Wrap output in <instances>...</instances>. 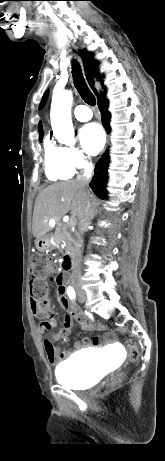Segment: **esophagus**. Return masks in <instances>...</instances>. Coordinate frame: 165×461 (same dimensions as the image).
Masks as SVG:
<instances>
[{
  "instance_id": "1",
  "label": "esophagus",
  "mask_w": 165,
  "mask_h": 461,
  "mask_svg": "<svg viewBox=\"0 0 165 461\" xmlns=\"http://www.w3.org/2000/svg\"><path fill=\"white\" fill-rule=\"evenodd\" d=\"M84 67L86 69L85 63H84ZM86 72H87V70H86ZM97 107H98V109L102 110V102L100 100L97 101Z\"/></svg>"
}]
</instances>
